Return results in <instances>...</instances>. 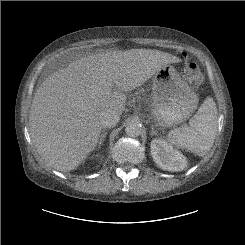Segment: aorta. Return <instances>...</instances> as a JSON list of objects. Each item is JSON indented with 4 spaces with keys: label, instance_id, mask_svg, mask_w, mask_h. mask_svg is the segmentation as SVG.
Returning a JSON list of instances; mask_svg holds the SVG:
<instances>
[{
    "label": "aorta",
    "instance_id": "obj_1",
    "mask_svg": "<svg viewBox=\"0 0 245 245\" xmlns=\"http://www.w3.org/2000/svg\"><path fill=\"white\" fill-rule=\"evenodd\" d=\"M142 125L136 120H131L125 127L126 134L130 137H137L141 134Z\"/></svg>",
    "mask_w": 245,
    "mask_h": 245
}]
</instances>
